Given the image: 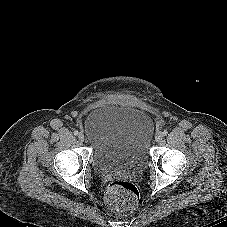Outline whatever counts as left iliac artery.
I'll return each instance as SVG.
<instances>
[{
    "label": "left iliac artery",
    "mask_w": 227,
    "mask_h": 227,
    "mask_svg": "<svg viewBox=\"0 0 227 227\" xmlns=\"http://www.w3.org/2000/svg\"><path fill=\"white\" fill-rule=\"evenodd\" d=\"M162 133L164 136H166L168 132L166 130H164Z\"/></svg>",
    "instance_id": "obj_1"
}]
</instances>
